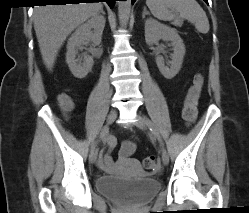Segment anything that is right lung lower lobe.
<instances>
[{
	"label": "right lung lower lobe",
	"mask_w": 249,
	"mask_h": 213,
	"mask_svg": "<svg viewBox=\"0 0 249 213\" xmlns=\"http://www.w3.org/2000/svg\"><path fill=\"white\" fill-rule=\"evenodd\" d=\"M81 1H87V0H45V2L54 3V4H58V5L59 4H66V3H78L79 4V2H81ZM88 1H105L108 3L110 8H113L116 0H88Z\"/></svg>",
	"instance_id": "right-lung-lower-lobe-1"
}]
</instances>
